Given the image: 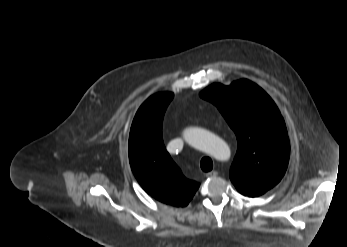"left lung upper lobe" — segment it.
Listing matches in <instances>:
<instances>
[{"label":"left lung upper lobe","mask_w":347,"mask_h":247,"mask_svg":"<svg viewBox=\"0 0 347 247\" xmlns=\"http://www.w3.org/2000/svg\"><path fill=\"white\" fill-rule=\"evenodd\" d=\"M200 96L217 106L236 134L238 149L230 169L236 189L249 197L274 187L288 166L285 122L269 95L249 80L214 83Z\"/></svg>","instance_id":"1"}]
</instances>
